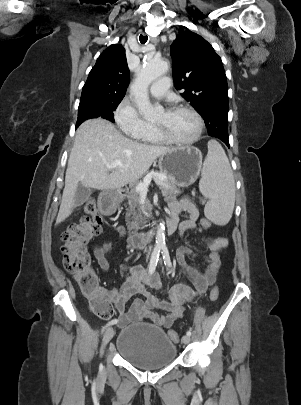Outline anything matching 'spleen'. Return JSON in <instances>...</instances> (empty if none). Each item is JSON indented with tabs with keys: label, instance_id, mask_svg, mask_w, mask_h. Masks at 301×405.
I'll return each mask as SVG.
<instances>
[{
	"label": "spleen",
	"instance_id": "spleen-1",
	"mask_svg": "<svg viewBox=\"0 0 301 405\" xmlns=\"http://www.w3.org/2000/svg\"><path fill=\"white\" fill-rule=\"evenodd\" d=\"M199 186L209 199L205 207L207 218L218 225H226L234 210L235 181L225 151L215 140L208 142Z\"/></svg>",
	"mask_w": 301,
	"mask_h": 405
}]
</instances>
